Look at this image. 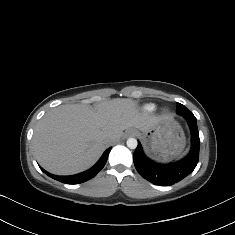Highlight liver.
I'll return each instance as SVG.
<instances>
[{
  "label": "liver",
  "instance_id": "6515ba94",
  "mask_svg": "<svg viewBox=\"0 0 235 235\" xmlns=\"http://www.w3.org/2000/svg\"><path fill=\"white\" fill-rule=\"evenodd\" d=\"M166 116L141 113L138 103L116 98L96 108L84 104L62 105L38 122L33 149L39 164L56 175H72L93 166L111 139L131 128L146 131Z\"/></svg>",
  "mask_w": 235,
  "mask_h": 235
}]
</instances>
